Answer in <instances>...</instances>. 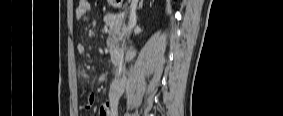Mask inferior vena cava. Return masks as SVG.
Segmentation results:
<instances>
[{"label":"inferior vena cava","mask_w":283,"mask_h":116,"mask_svg":"<svg viewBox=\"0 0 283 116\" xmlns=\"http://www.w3.org/2000/svg\"><path fill=\"white\" fill-rule=\"evenodd\" d=\"M136 5H137V0H133L131 4V12L129 18V34L131 32L132 26L136 22Z\"/></svg>","instance_id":"obj_1"}]
</instances>
